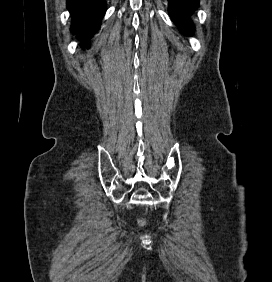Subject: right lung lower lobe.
<instances>
[{
  "label": "right lung lower lobe",
  "instance_id": "obj_1",
  "mask_svg": "<svg viewBox=\"0 0 272 282\" xmlns=\"http://www.w3.org/2000/svg\"><path fill=\"white\" fill-rule=\"evenodd\" d=\"M67 8L72 14L71 30L86 45L106 12L105 0H67Z\"/></svg>",
  "mask_w": 272,
  "mask_h": 282
}]
</instances>
